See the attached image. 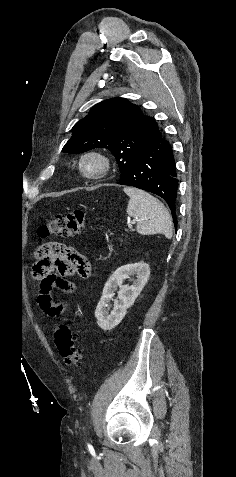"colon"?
<instances>
[{
  "instance_id": "5ec220e1",
  "label": "colon",
  "mask_w": 236,
  "mask_h": 477,
  "mask_svg": "<svg viewBox=\"0 0 236 477\" xmlns=\"http://www.w3.org/2000/svg\"><path fill=\"white\" fill-rule=\"evenodd\" d=\"M85 213L81 209L74 210L68 214L57 215L38 228L37 235L40 239H46L52 236L63 238H72L80 234L84 229ZM59 251L47 244L38 247L36 255L38 259H43L49 255L57 254ZM80 262L81 272L89 274L90 270L85 264L84 257L76 256ZM78 333L69 325H61L55 334V343L57 349L69 366H80L83 358L82 349L78 345Z\"/></svg>"
}]
</instances>
